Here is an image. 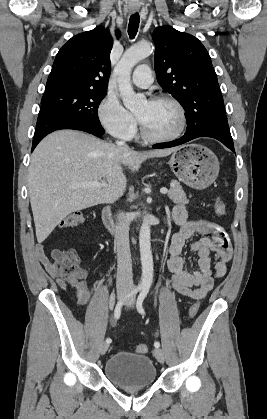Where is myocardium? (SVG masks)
I'll return each instance as SVG.
<instances>
[{
	"label": "myocardium",
	"instance_id": "f54148a6",
	"mask_svg": "<svg viewBox=\"0 0 267 419\" xmlns=\"http://www.w3.org/2000/svg\"><path fill=\"white\" fill-rule=\"evenodd\" d=\"M149 101L151 102H159V101H166V102H170L171 104H173L176 109L178 110L179 113V117H180V123L179 126L177 128V130L167 136H155L152 135L151 133H149L147 131V129L144 127V125L141 123V121L138 119V123H139V128H140V133L142 135V137L149 141V142H153V143H164V142H170V141H174L176 139H178L184 132L186 125H187V116H186V111L185 108L183 107V105L181 104V102L179 100H177L176 98H174L173 96L167 95V94H160V95H155L153 97H151L149 99Z\"/></svg>",
	"mask_w": 267,
	"mask_h": 419
}]
</instances>
